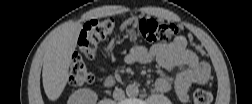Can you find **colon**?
I'll return each instance as SVG.
<instances>
[{
	"mask_svg": "<svg viewBox=\"0 0 252 104\" xmlns=\"http://www.w3.org/2000/svg\"><path fill=\"white\" fill-rule=\"evenodd\" d=\"M115 27L112 19L93 20L85 25L78 39L81 53L92 59L98 42L109 37ZM138 30L143 41L147 43L168 42L182 33L181 28L174 23L159 21L155 18H143L138 23ZM94 79L92 72L85 66L80 55H75L71 61L68 81L72 86H82ZM195 104H209L212 95L209 91L198 89L194 92Z\"/></svg>",
	"mask_w": 252,
	"mask_h": 104,
	"instance_id": "obj_1",
	"label": "colon"
}]
</instances>
